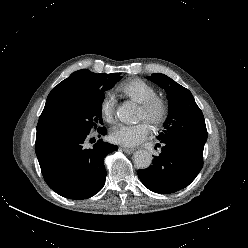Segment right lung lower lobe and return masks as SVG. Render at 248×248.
Here are the masks:
<instances>
[{"label": "right lung lower lobe", "instance_id": "obj_1", "mask_svg": "<svg viewBox=\"0 0 248 248\" xmlns=\"http://www.w3.org/2000/svg\"><path fill=\"white\" fill-rule=\"evenodd\" d=\"M106 135V128L98 130ZM95 142L88 131L41 129L36 134L35 151L42 175L57 194L69 199H87L103 187L104 158L118 147L101 139Z\"/></svg>", "mask_w": 248, "mask_h": 248}]
</instances>
